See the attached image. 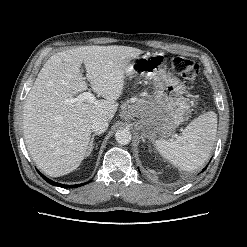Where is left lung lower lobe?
<instances>
[{"label": "left lung lower lobe", "mask_w": 247, "mask_h": 247, "mask_svg": "<svg viewBox=\"0 0 247 247\" xmlns=\"http://www.w3.org/2000/svg\"><path fill=\"white\" fill-rule=\"evenodd\" d=\"M206 168H207V167H205V168L203 169V171H205V170H206Z\"/></svg>", "instance_id": "left-lung-lower-lobe-1"}]
</instances>
